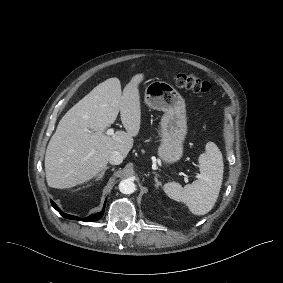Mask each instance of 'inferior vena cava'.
<instances>
[{
  "label": "inferior vena cava",
  "mask_w": 283,
  "mask_h": 283,
  "mask_svg": "<svg viewBox=\"0 0 283 283\" xmlns=\"http://www.w3.org/2000/svg\"><path fill=\"white\" fill-rule=\"evenodd\" d=\"M123 161V156L117 152V151H114V152H111L109 154V163L112 164V165H119L121 164Z\"/></svg>",
  "instance_id": "inferior-vena-cava-1"
}]
</instances>
